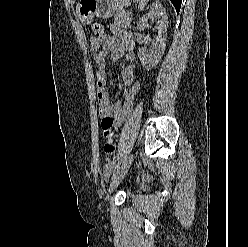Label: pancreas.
Returning a JSON list of instances; mask_svg holds the SVG:
<instances>
[{"mask_svg":"<svg viewBox=\"0 0 248 247\" xmlns=\"http://www.w3.org/2000/svg\"><path fill=\"white\" fill-rule=\"evenodd\" d=\"M115 26L121 27V28H129L131 24V17L129 12H125L121 16L115 17Z\"/></svg>","mask_w":248,"mask_h":247,"instance_id":"pancreas-1","label":"pancreas"}]
</instances>
